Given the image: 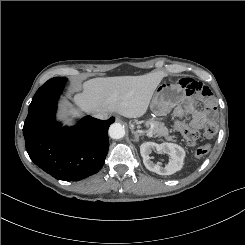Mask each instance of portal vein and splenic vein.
I'll list each match as a JSON object with an SVG mask.
<instances>
[{
	"instance_id": "obj_1",
	"label": "portal vein and splenic vein",
	"mask_w": 245,
	"mask_h": 245,
	"mask_svg": "<svg viewBox=\"0 0 245 245\" xmlns=\"http://www.w3.org/2000/svg\"><path fill=\"white\" fill-rule=\"evenodd\" d=\"M148 137H153L152 131L149 129L146 131Z\"/></svg>"
}]
</instances>
